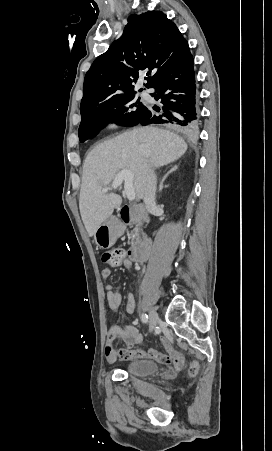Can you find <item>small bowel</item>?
Returning <instances> with one entry per match:
<instances>
[{
  "label": "small bowel",
  "instance_id": "c3829d8e",
  "mask_svg": "<svg viewBox=\"0 0 272 451\" xmlns=\"http://www.w3.org/2000/svg\"><path fill=\"white\" fill-rule=\"evenodd\" d=\"M112 272L109 266H105L101 271V277L103 280L108 281L111 278ZM122 284L118 283L113 289L110 284L106 285V296L108 301V307L116 313L121 305L122 296L120 290ZM135 309V299L133 294H127L125 310L127 313H132ZM121 340L123 347L115 349L113 342ZM143 342V335L139 333L137 328L128 325H119L117 323L112 324L107 333V344L105 347V356L108 362L113 363L118 358L122 360H132L138 358H149L158 361L157 354L161 352L157 349H138L137 346ZM164 352H174L175 356H181L179 352L174 348L172 342L166 338L160 340ZM161 363V361H158Z\"/></svg>",
  "mask_w": 272,
  "mask_h": 451
}]
</instances>
